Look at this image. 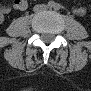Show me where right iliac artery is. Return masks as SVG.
I'll list each match as a JSON object with an SVG mask.
<instances>
[{
    "instance_id": "right-iliac-artery-1",
    "label": "right iliac artery",
    "mask_w": 91,
    "mask_h": 91,
    "mask_svg": "<svg viewBox=\"0 0 91 91\" xmlns=\"http://www.w3.org/2000/svg\"><path fill=\"white\" fill-rule=\"evenodd\" d=\"M48 6H49V7H52V6H53V2H49V3H48Z\"/></svg>"
}]
</instances>
